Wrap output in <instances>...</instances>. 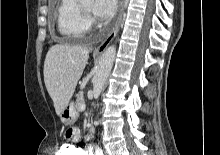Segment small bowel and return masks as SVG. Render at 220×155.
I'll return each instance as SVG.
<instances>
[{
    "label": "small bowel",
    "mask_w": 220,
    "mask_h": 155,
    "mask_svg": "<svg viewBox=\"0 0 220 155\" xmlns=\"http://www.w3.org/2000/svg\"><path fill=\"white\" fill-rule=\"evenodd\" d=\"M80 138V130H77V126H66V130L64 133V140L65 141H71L72 144H75L76 141H78ZM62 146H75L71 144H63ZM83 155H91V149L90 148H82Z\"/></svg>",
    "instance_id": "obj_1"
}]
</instances>
